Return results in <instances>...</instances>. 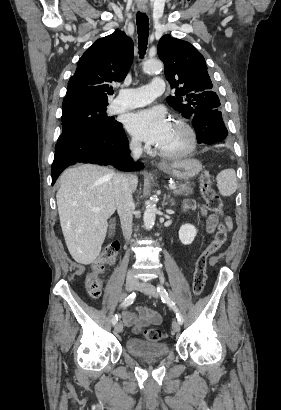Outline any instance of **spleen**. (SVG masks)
I'll return each mask as SVG.
<instances>
[{
	"instance_id": "1",
	"label": "spleen",
	"mask_w": 281,
	"mask_h": 410,
	"mask_svg": "<svg viewBox=\"0 0 281 410\" xmlns=\"http://www.w3.org/2000/svg\"><path fill=\"white\" fill-rule=\"evenodd\" d=\"M217 187L222 196H230L237 189L236 173L233 169H225L216 176Z\"/></svg>"
}]
</instances>
